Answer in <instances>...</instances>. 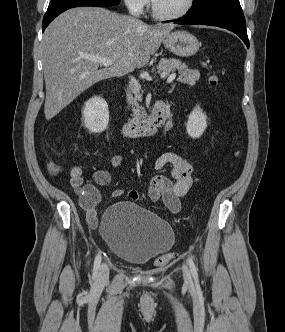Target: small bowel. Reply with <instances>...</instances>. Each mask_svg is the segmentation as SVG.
Listing matches in <instances>:
<instances>
[{
  "label": "small bowel",
  "mask_w": 285,
  "mask_h": 332,
  "mask_svg": "<svg viewBox=\"0 0 285 332\" xmlns=\"http://www.w3.org/2000/svg\"><path fill=\"white\" fill-rule=\"evenodd\" d=\"M170 127L171 122L168 121L166 128L169 129ZM122 160L121 155H114L109 160V166L118 168L122 164ZM165 166L170 167L175 182L164 175H157L151 180L148 195L153 202L162 201L170 212L177 213L181 207L180 198L192 186L193 169L184 157L175 152H165L155 160L154 168L156 170H161ZM69 175L70 185L79 197L80 206L86 212L88 224L91 227H96L98 218L95 207L100 200L98 189L94 185L84 183L83 170L79 166L71 167ZM93 180L100 186H108L111 184V175L108 170H97L93 173ZM124 194L125 191L122 189L112 191V197L114 198H119ZM127 196L133 201H137L140 197L139 192L135 189L129 190Z\"/></svg>",
  "instance_id": "c3829d8e"
}]
</instances>
